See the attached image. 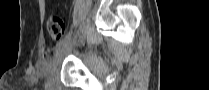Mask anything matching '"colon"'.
<instances>
[{"label": "colon", "instance_id": "5ec220e1", "mask_svg": "<svg viewBox=\"0 0 209 90\" xmlns=\"http://www.w3.org/2000/svg\"><path fill=\"white\" fill-rule=\"evenodd\" d=\"M47 27L50 36L55 40L61 39L65 33V22L59 16H51L47 22Z\"/></svg>", "mask_w": 209, "mask_h": 90}]
</instances>
